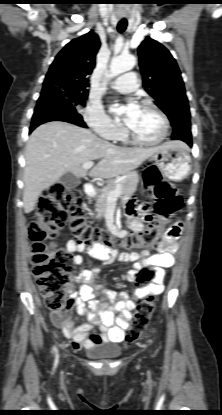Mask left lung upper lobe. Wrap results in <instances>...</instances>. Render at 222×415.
<instances>
[{"mask_svg": "<svg viewBox=\"0 0 222 415\" xmlns=\"http://www.w3.org/2000/svg\"><path fill=\"white\" fill-rule=\"evenodd\" d=\"M143 87L167 115L173 130L190 125V111L181 72L170 52L146 37L138 47Z\"/></svg>", "mask_w": 222, "mask_h": 415, "instance_id": "1", "label": "left lung upper lobe"}]
</instances>
